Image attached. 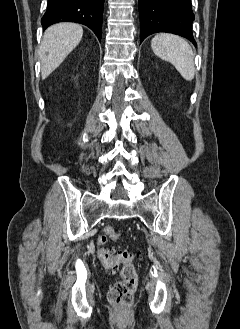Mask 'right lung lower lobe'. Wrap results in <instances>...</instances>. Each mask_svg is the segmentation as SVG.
Listing matches in <instances>:
<instances>
[{
    "mask_svg": "<svg viewBox=\"0 0 240 329\" xmlns=\"http://www.w3.org/2000/svg\"><path fill=\"white\" fill-rule=\"evenodd\" d=\"M104 0H48L41 19L43 30L58 22H75L88 26L101 40Z\"/></svg>",
    "mask_w": 240,
    "mask_h": 329,
    "instance_id": "1",
    "label": "right lung lower lobe"
}]
</instances>
